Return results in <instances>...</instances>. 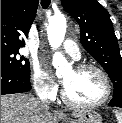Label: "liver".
<instances>
[{"label":"liver","instance_id":"1","mask_svg":"<svg viewBox=\"0 0 122 123\" xmlns=\"http://www.w3.org/2000/svg\"><path fill=\"white\" fill-rule=\"evenodd\" d=\"M83 111H74L77 118ZM48 108L41 107L38 99L29 94L1 96V123H53Z\"/></svg>","mask_w":122,"mask_h":123}]
</instances>
